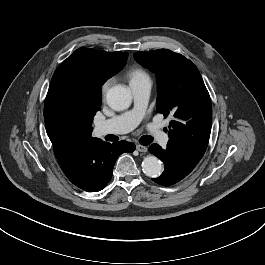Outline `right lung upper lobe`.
Returning a JSON list of instances; mask_svg holds the SVG:
<instances>
[{
  "instance_id": "1",
  "label": "right lung upper lobe",
  "mask_w": 265,
  "mask_h": 265,
  "mask_svg": "<svg viewBox=\"0 0 265 265\" xmlns=\"http://www.w3.org/2000/svg\"><path fill=\"white\" fill-rule=\"evenodd\" d=\"M82 51L101 61L107 68H104L103 66H95L88 61H84L78 64V73L95 74V76L104 83L124 67L128 58V53L126 52H106L95 49L79 48L68 59L73 58ZM92 130L93 128L83 129L68 137L59 136L47 130V134L53 144L54 153L60 166L65 165L73 159L89 142L97 140V138L91 136Z\"/></svg>"
}]
</instances>
